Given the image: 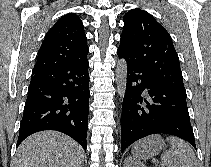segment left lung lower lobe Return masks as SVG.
I'll return each mask as SVG.
<instances>
[{
    "mask_svg": "<svg viewBox=\"0 0 211 167\" xmlns=\"http://www.w3.org/2000/svg\"><path fill=\"white\" fill-rule=\"evenodd\" d=\"M126 90L121 116V152L135 141L156 133L178 136L194 148L186 94L159 82L141 67L128 61Z\"/></svg>",
    "mask_w": 211,
    "mask_h": 167,
    "instance_id": "left-lung-lower-lobe-1",
    "label": "left lung lower lobe"
}]
</instances>
